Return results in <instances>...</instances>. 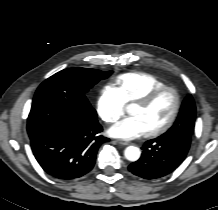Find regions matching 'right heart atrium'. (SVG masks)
Here are the masks:
<instances>
[{
	"label": "right heart atrium",
	"instance_id": "1",
	"mask_svg": "<svg viewBox=\"0 0 218 210\" xmlns=\"http://www.w3.org/2000/svg\"><path fill=\"white\" fill-rule=\"evenodd\" d=\"M96 111L104 122L111 124L124 115L125 103L113 87L105 86L97 97Z\"/></svg>",
	"mask_w": 218,
	"mask_h": 210
}]
</instances>
